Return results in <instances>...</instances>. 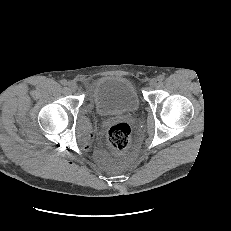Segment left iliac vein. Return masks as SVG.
Returning <instances> with one entry per match:
<instances>
[{
	"instance_id": "1",
	"label": "left iliac vein",
	"mask_w": 231,
	"mask_h": 231,
	"mask_svg": "<svg viewBox=\"0 0 231 231\" xmlns=\"http://www.w3.org/2000/svg\"><path fill=\"white\" fill-rule=\"evenodd\" d=\"M158 83V80L156 78H152L149 80L150 87H155Z\"/></svg>"
}]
</instances>
